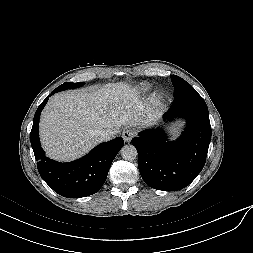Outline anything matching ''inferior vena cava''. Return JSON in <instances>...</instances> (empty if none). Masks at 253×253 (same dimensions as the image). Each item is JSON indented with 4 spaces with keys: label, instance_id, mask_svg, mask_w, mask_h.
Segmentation results:
<instances>
[{
    "label": "inferior vena cava",
    "instance_id": "obj_1",
    "mask_svg": "<svg viewBox=\"0 0 253 253\" xmlns=\"http://www.w3.org/2000/svg\"><path fill=\"white\" fill-rule=\"evenodd\" d=\"M94 134L99 138V140L102 141H109L114 137L116 134V131L112 129H104V130H96Z\"/></svg>",
    "mask_w": 253,
    "mask_h": 253
}]
</instances>
